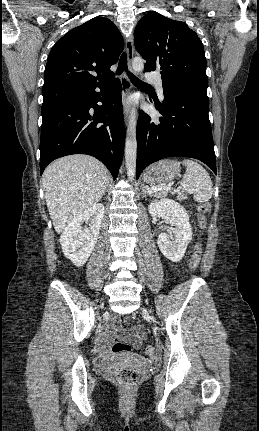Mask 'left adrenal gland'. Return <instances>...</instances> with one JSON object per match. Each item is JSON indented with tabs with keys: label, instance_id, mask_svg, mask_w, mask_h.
I'll return each mask as SVG.
<instances>
[{
	"label": "left adrenal gland",
	"instance_id": "left-adrenal-gland-1",
	"mask_svg": "<svg viewBox=\"0 0 259 431\" xmlns=\"http://www.w3.org/2000/svg\"><path fill=\"white\" fill-rule=\"evenodd\" d=\"M142 194H143V196H145L146 194H148L149 196H151V194L148 193L146 187H144V186H142Z\"/></svg>",
	"mask_w": 259,
	"mask_h": 431
}]
</instances>
